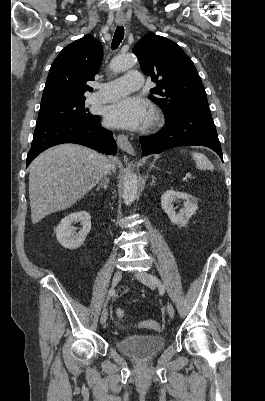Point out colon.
Wrapping results in <instances>:
<instances>
[{"label": "colon", "mask_w": 265, "mask_h": 401, "mask_svg": "<svg viewBox=\"0 0 265 401\" xmlns=\"http://www.w3.org/2000/svg\"><path fill=\"white\" fill-rule=\"evenodd\" d=\"M124 315H125V311L122 308H117L113 313V317H117V318H122V317H124ZM139 326L141 328H148V329H153L156 331L160 330L159 323L154 320H143L139 323Z\"/></svg>", "instance_id": "1"}]
</instances>
